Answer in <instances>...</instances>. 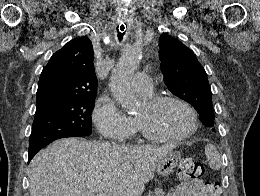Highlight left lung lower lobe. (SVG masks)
Instances as JSON below:
<instances>
[{
  "mask_svg": "<svg viewBox=\"0 0 260 196\" xmlns=\"http://www.w3.org/2000/svg\"><path fill=\"white\" fill-rule=\"evenodd\" d=\"M201 121L203 122L204 125H207L211 118L203 117L202 115L200 116Z\"/></svg>",
  "mask_w": 260,
  "mask_h": 196,
  "instance_id": "left-lung-lower-lobe-1",
  "label": "left lung lower lobe"
}]
</instances>
